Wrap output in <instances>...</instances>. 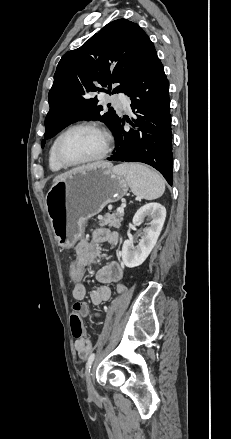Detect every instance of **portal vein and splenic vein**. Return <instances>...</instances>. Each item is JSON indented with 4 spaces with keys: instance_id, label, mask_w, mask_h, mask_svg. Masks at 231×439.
I'll return each mask as SVG.
<instances>
[{
    "instance_id": "18ae733b",
    "label": "portal vein and splenic vein",
    "mask_w": 231,
    "mask_h": 439,
    "mask_svg": "<svg viewBox=\"0 0 231 439\" xmlns=\"http://www.w3.org/2000/svg\"><path fill=\"white\" fill-rule=\"evenodd\" d=\"M125 206H126V204H122L120 207L117 208V212L118 213H124Z\"/></svg>"
}]
</instances>
